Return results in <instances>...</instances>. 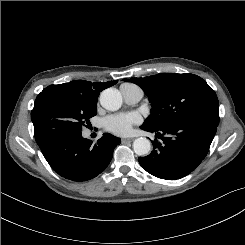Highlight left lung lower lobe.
I'll return each mask as SVG.
<instances>
[{"label": "left lung lower lobe", "mask_w": 245, "mask_h": 245, "mask_svg": "<svg viewBox=\"0 0 245 245\" xmlns=\"http://www.w3.org/2000/svg\"><path fill=\"white\" fill-rule=\"evenodd\" d=\"M217 126L201 119H186L163 127L140 128L155 133L150 155L139 157L142 168L151 175L175 180L190 174L205 158Z\"/></svg>", "instance_id": "1"}]
</instances>
